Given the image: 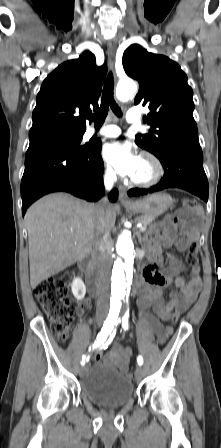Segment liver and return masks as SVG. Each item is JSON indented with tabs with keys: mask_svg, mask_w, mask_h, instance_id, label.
I'll return each instance as SVG.
<instances>
[{
	"mask_svg": "<svg viewBox=\"0 0 221 448\" xmlns=\"http://www.w3.org/2000/svg\"><path fill=\"white\" fill-rule=\"evenodd\" d=\"M95 209L92 203L54 193L39 199L27 210L32 289L91 252L100 219ZM115 220V208L107 205L104 228L113 229Z\"/></svg>",
	"mask_w": 221,
	"mask_h": 448,
	"instance_id": "liver-1",
	"label": "liver"
}]
</instances>
